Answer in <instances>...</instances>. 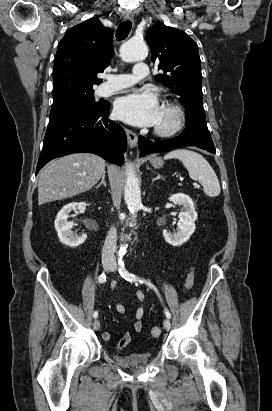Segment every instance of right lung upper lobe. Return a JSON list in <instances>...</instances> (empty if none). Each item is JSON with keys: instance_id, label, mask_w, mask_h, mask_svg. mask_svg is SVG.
Instances as JSON below:
<instances>
[{"instance_id": "obj_1", "label": "right lung upper lobe", "mask_w": 272, "mask_h": 411, "mask_svg": "<svg viewBox=\"0 0 272 411\" xmlns=\"http://www.w3.org/2000/svg\"><path fill=\"white\" fill-rule=\"evenodd\" d=\"M113 35L99 19L91 18L72 27L61 40L53 69V100L66 99L76 91L100 84L96 77L109 65Z\"/></svg>"}]
</instances>
